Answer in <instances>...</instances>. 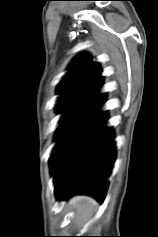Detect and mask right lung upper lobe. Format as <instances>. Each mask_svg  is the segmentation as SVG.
<instances>
[{
	"mask_svg": "<svg viewBox=\"0 0 158 237\" xmlns=\"http://www.w3.org/2000/svg\"><path fill=\"white\" fill-rule=\"evenodd\" d=\"M71 68L59 84V102L83 106L101 95L102 77L97 63L88 55L81 54L73 61Z\"/></svg>",
	"mask_w": 158,
	"mask_h": 237,
	"instance_id": "cb5924a9",
	"label": "right lung upper lobe"
}]
</instances>
